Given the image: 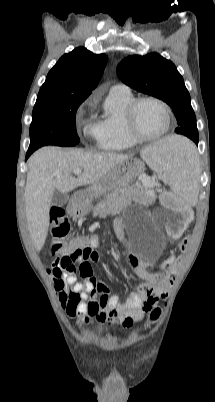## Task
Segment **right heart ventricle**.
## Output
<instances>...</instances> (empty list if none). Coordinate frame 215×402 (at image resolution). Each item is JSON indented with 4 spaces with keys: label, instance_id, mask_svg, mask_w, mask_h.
Listing matches in <instances>:
<instances>
[{
    "label": "right heart ventricle",
    "instance_id": "e07e8e85",
    "mask_svg": "<svg viewBox=\"0 0 215 402\" xmlns=\"http://www.w3.org/2000/svg\"><path fill=\"white\" fill-rule=\"evenodd\" d=\"M135 97L130 90H111L105 100L103 113L97 122V143L103 150H125L137 144L125 128L124 115Z\"/></svg>",
    "mask_w": 215,
    "mask_h": 402
}]
</instances>
